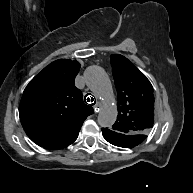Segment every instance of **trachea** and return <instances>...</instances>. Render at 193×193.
Segmentation results:
<instances>
[{"instance_id": "1", "label": "trachea", "mask_w": 193, "mask_h": 193, "mask_svg": "<svg viewBox=\"0 0 193 193\" xmlns=\"http://www.w3.org/2000/svg\"><path fill=\"white\" fill-rule=\"evenodd\" d=\"M88 95H90V94L88 93V94L85 95V102H86V103H87V102H91L90 105H94V104L96 103V100H94V98H92L91 96H90V98L87 97ZM86 97H87V99H86ZM93 101H94V102H93ZM92 102H93V103H92Z\"/></svg>"}]
</instances>
